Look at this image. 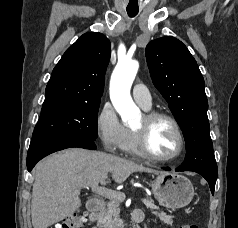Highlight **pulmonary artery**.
Masks as SVG:
<instances>
[{
  "instance_id": "obj_1",
  "label": "pulmonary artery",
  "mask_w": 238,
  "mask_h": 228,
  "mask_svg": "<svg viewBox=\"0 0 238 228\" xmlns=\"http://www.w3.org/2000/svg\"><path fill=\"white\" fill-rule=\"evenodd\" d=\"M134 100L144 109L151 107V94L144 84H135L132 89Z\"/></svg>"
}]
</instances>
